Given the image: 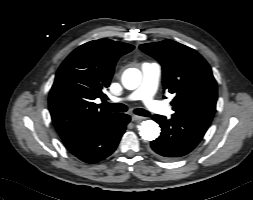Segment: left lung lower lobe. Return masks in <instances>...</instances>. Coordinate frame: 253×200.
Masks as SVG:
<instances>
[{
  "label": "left lung lower lobe",
  "instance_id": "left-lung-lower-lobe-1",
  "mask_svg": "<svg viewBox=\"0 0 253 200\" xmlns=\"http://www.w3.org/2000/svg\"><path fill=\"white\" fill-rule=\"evenodd\" d=\"M152 118L159 123L162 132L151 142V152L163 159H174L188 154L197 146L209 127L178 114H173L168 120L160 115Z\"/></svg>",
  "mask_w": 253,
  "mask_h": 200
}]
</instances>
